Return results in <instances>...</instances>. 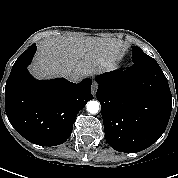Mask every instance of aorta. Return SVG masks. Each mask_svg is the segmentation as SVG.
Here are the masks:
<instances>
[{
    "mask_svg": "<svg viewBox=\"0 0 178 178\" xmlns=\"http://www.w3.org/2000/svg\"><path fill=\"white\" fill-rule=\"evenodd\" d=\"M87 111L91 114H96L99 111V102L91 100L86 105Z\"/></svg>",
    "mask_w": 178,
    "mask_h": 178,
    "instance_id": "aorta-1",
    "label": "aorta"
}]
</instances>
